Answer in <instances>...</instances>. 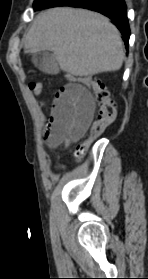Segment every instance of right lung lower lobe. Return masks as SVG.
<instances>
[{
    "mask_svg": "<svg viewBox=\"0 0 148 279\" xmlns=\"http://www.w3.org/2000/svg\"><path fill=\"white\" fill-rule=\"evenodd\" d=\"M57 6L85 8L104 14L113 20V24L122 33L125 45L128 47L130 28L124 0H49L43 9Z\"/></svg>",
    "mask_w": 148,
    "mask_h": 279,
    "instance_id": "obj_1",
    "label": "right lung lower lobe"
}]
</instances>
